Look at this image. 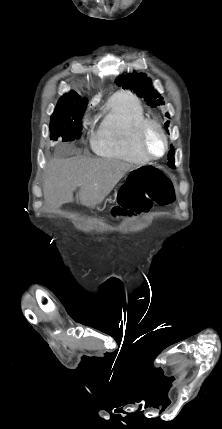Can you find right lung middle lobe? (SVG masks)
<instances>
[{"label":"right lung middle lobe","mask_w":222,"mask_h":429,"mask_svg":"<svg viewBox=\"0 0 222 429\" xmlns=\"http://www.w3.org/2000/svg\"><path fill=\"white\" fill-rule=\"evenodd\" d=\"M87 99L75 91L63 95L51 116L50 139L73 141L81 136L82 116Z\"/></svg>","instance_id":"1"}]
</instances>
